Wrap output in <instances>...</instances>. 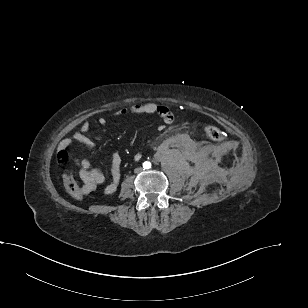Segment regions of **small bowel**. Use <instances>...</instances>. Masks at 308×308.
I'll return each instance as SVG.
<instances>
[{
	"label": "small bowel",
	"instance_id": "c3829d8e",
	"mask_svg": "<svg viewBox=\"0 0 308 308\" xmlns=\"http://www.w3.org/2000/svg\"><path fill=\"white\" fill-rule=\"evenodd\" d=\"M145 114H157L166 124H170L173 121V114L166 106L156 103L145 104H133L123 108L116 115H145ZM100 125L107 123V118L101 116L98 118ZM90 129V123L88 121L81 125L79 132L75 133L73 139L79 144L83 145L87 149L94 148V143L87 136L86 133ZM186 135L177 134L169 139L170 142H182L186 139ZM71 139H64L59 144V149H65L71 144ZM75 163L79 168V176L83 182V188L88 192L93 191L97 186L104 184V190L107 194H112L116 191L121 178V158L118 153H114L111 157L110 164V176L107 180L104 173L98 168H91L88 160L84 158H76Z\"/></svg>",
	"mask_w": 308,
	"mask_h": 308
}]
</instances>
